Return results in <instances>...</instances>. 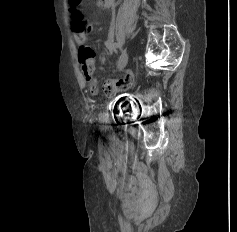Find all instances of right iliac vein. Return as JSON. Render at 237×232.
Segmentation results:
<instances>
[{
  "label": "right iliac vein",
  "mask_w": 237,
  "mask_h": 232,
  "mask_svg": "<svg viewBox=\"0 0 237 232\" xmlns=\"http://www.w3.org/2000/svg\"><path fill=\"white\" fill-rule=\"evenodd\" d=\"M128 63V54L126 51H124L119 59L118 62V69L119 71L123 70L125 68V66Z\"/></svg>",
  "instance_id": "obj_1"
}]
</instances>
